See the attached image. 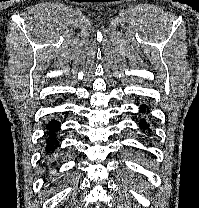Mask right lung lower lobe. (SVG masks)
I'll list each match as a JSON object with an SVG mask.
<instances>
[{"mask_svg": "<svg viewBox=\"0 0 199 208\" xmlns=\"http://www.w3.org/2000/svg\"><path fill=\"white\" fill-rule=\"evenodd\" d=\"M59 122L58 121H51V123H49V125H46V128L49 129V139H47V146H46V150L47 152H49L50 150H52L54 152L55 148L58 146V141L56 139L55 136V132L56 129L59 128ZM56 128V129H55Z\"/></svg>", "mask_w": 199, "mask_h": 208, "instance_id": "right-lung-lower-lobe-1", "label": "right lung lower lobe"}]
</instances>
